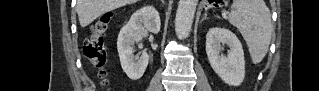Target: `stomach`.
Instances as JSON below:
<instances>
[{
  "mask_svg": "<svg viewBox=\"0 0 319 91\" xmlns=\"http://www.w3.org/2000/svg\"><path fill=\"white\" fill-rule=\"evenodd\" d=\"M210 2H213V1H210ZM217 2V4L216 5H222L223 3H225V1H223V0H218V1H216Z\"/></svg>",
  "mask_w": 319,
  "mask_h": 91,
  "instance_id": "obj_1",
  "label": "stomach"
}]
</instances>
